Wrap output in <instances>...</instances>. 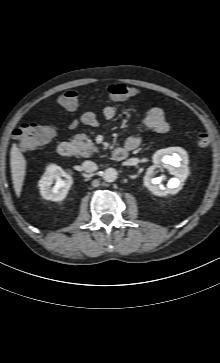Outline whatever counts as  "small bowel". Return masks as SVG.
<instances>
[{
  "label": "small bowel",
  "mask_w": 220,
  "mask_h": 363,
  "mask_svg": "<svg viewBox=\"0 0 220 363\" xmlns=\"http://www.w3.org/2000/svg\"><path fill=\"white\" fill-rule=\"evenodd\" d=\"M118 114V109L115 105L107 106L104 111L103 115L104 118L107 120L114 119ZM79 124L94 127L98 124V117L97 114L93 111L85 112L79 121H74L70 125V129L76 128ZM143 125L158 134H164L169 130V124L166 121L164 111L159 107L151 108L146 116L143 119ZM141 143L140 136L136 134L130 135L125 142V146L129 150L136 149Z\"/></svg>",
  "instance_id": "small-bowel-1"
}]
</instances>
